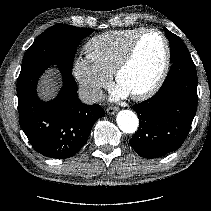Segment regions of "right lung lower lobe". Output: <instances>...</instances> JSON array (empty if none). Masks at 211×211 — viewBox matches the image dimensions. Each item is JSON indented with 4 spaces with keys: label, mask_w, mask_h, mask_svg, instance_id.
Listing matches in <instances>:
<instances>
[{
    "label": "right lung lower lobe",
    "mask_w": 211,
    "mask_h": 211,
    "mask_svg": "<svg viewBox=\"0 0 211 211\" xmlns=\"http://www.w3.org/2000/svg\"><path fill=\"white\" fill-rule=\"evenodd\" d=\"M50 65L20 73L17 82L20 125L36 151L49 158L74 156L86 143L94 122L105 116L98 104H83L72 71L61 67L63 87L58 96L40 100L36 93L41 74Z\"/></svg>",
    "instance_id": "right-lung-lower-lobe-1"
}]
</instances>
